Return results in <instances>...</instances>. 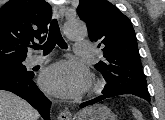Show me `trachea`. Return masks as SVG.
<instances>
[{"label": "trachea", "mask_w": 165, "mask_h": 120, "mask_svg": "<svg viewBox=\"0 0 165 120\" xmlns=\"http://www.w3.org/2000/svg\"><path fill=\"white\" fill-rule=\"evenodd\" d=\"M56 44L62 49H67V43L64 41L59 25L56 19H53L49 27V35L47 41L43 45H33V49L39 50L42 49L44 54H49Z\"/></svg>", "instance_id": "trachea-1"}]
</instances>
